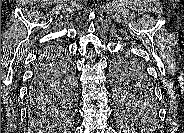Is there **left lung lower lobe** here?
Masks as SVG:
<instances>
[{
  "label": "left lung lower lobe",
  "instance_id": "1",
  "mask_svg": "<svg viewBox=\"0 0 184 133\" xmlns=\"http://www.w3.org/2000/svg\"><path fill=\"white\" fill-rule=\"evenodd\" d=\"M135 91L139 95H147L148 93H151L152 90H150L149 87L144 86L143 84L135 86Z\"/></svg>",
  "mask_w": 184,
  "mask_h": 133
}]
</instances>
